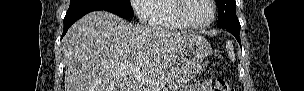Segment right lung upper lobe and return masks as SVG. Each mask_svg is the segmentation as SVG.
<instances>
[{
  "label": "right lung upper lobe",
  "instance_id": "right-lung-upper-lobe-1",
  "mask_svg": "<svg viewBox=\"0 0 304 91\" xmlns=\"http://www.w3.org/2000/svg\"><path fill=\"white\" fill-rule=\"evenodd\" d=\"M77 1H79V0H72V2H71V3H75V2H77Z\"/></svg>",
  "mask_w": 304,
  "mask_h": 91
}]
</instances>
